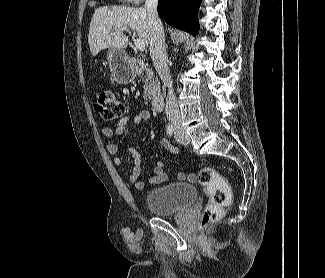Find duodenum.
<instances>
[{"instance_id": "duodenum-1", "label": "duodenum", "mask_w": 325, "mask_h": 278, "mask_svg": "<svg viewBox=\"0 0 325 278\" xmlns=\"http://www.w3.org/2000/svg\"><path fill=\"white\" fill-rule=\"evenodd\" d=\"M132 65L135 69H141L145 67L143 61L139 59H133ZM151 106L156 111H161L164 107V98L162 96H154L151 100Z\"/></svg>"}]
</instances>
